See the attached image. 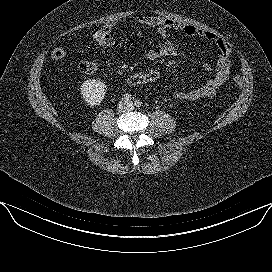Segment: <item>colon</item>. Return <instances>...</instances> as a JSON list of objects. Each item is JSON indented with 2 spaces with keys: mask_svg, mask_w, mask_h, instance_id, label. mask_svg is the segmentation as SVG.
<instances>
[{
  "mask_svg": "<svg viewBox=\"0 0 272 272\" xmlns=\"http://www.w3.org/2000/svg\"><path fill=\"white\" fill-rule=\"evenodd\" d=\"M86 40L89 44L101 46V47H113L115 45V38L112 33L99 29L90 33ZM67 55V51L64 47H55L51 52V57L54 60H61ZM99 69V65L95 61H84L79 64V71L84 75H93ZM163 76V73L158 68H151L141 72L133 73L127 77L126 82L130 86H143L149 85L159 81ZM234 83L237 86H241L243 80L240 76L233 78Z\"/></svg>",
  "mask_w": 272,
  "mask_h": 272,
  "instance_id": "obj_1",
  "label": "colon"
}]
</instances>
